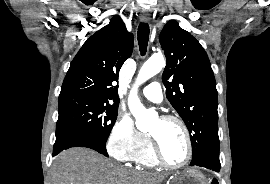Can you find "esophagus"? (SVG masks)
<instances>
[{"label": "esophagus", "instance_id": "1", "mask_svg": "<svg viewBox=\"0 0 270 184\" xmlns=\"http://www.w3.org/2000/svg\"><path fill=\"white\" fill-rule=\"evenodd\" d=\"M150 19V15L147 11H142L140 14V20L143 22H148Z\"/></svg>", "mask_w": 270, "mask_h": 184}]
</instances>
